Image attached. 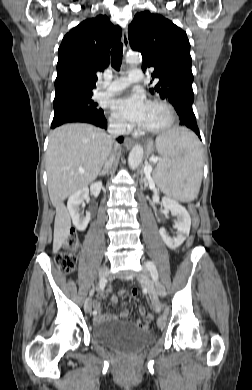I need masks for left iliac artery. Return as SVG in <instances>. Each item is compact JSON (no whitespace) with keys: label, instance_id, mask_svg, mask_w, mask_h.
<instances>
[{"label":"left iliac artery","instance_id":"obj_1","mask_svg":"<svg viewBox=\"0 0 252 390\" xmlns=\"http://www.w3.org/2000/svg\"><path fill=\"white\" fill-rule=\"evenodd\" d=\"M145 265H146V268L150 271L152 279L154 281H157L158 280V272H157V269H156V266L154 265V263L151 261H147Z\"/></svg>","mask_w":252,"mask_h":390}]
</instances>
